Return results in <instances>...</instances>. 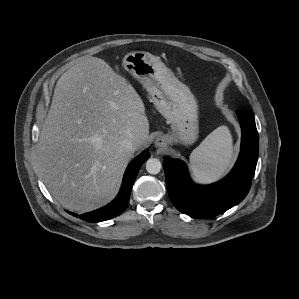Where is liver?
Segmentation results:
<instances>
[{"label": "liver", "mask_w": 299, "mask_h": 299, "mask_svg": "<svg viewBox=\"0 0 299 299\" xmlns=\"http://www.w3.org/2000/svg\"><path fill=\"white\" fill-rule=\"evenodd\" d=\"M149 122L131 84L97 57L84 58L57 81L37 144V168L52 196L81 213L114 193L146 142ZM136 139L135 150L121 146Z\"/></svg>", "instance_id": "obj_1"}]
</instances>
